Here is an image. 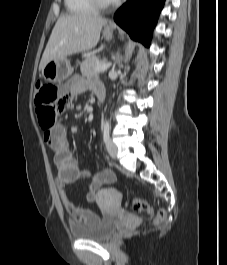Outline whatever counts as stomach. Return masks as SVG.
<instances>
[{
    "label": "stomach",
    "mask_w": 227,
    "mask_h": 265,
    "mask_svg": "<svg viewBox=\"0 0 227 265\" xmlns=\"http://www.w3.org/2000/svg\"><path fill=\"white\" fill-rule=\"evenodd\" d=\"M103 35L109 40L113 37V31L107 28L104 30ZM73 70L70 62L64 58L48 62L42 69L41 75L46 81L57 83L67 79L73 73Z\"/></svg>",
    "instance_id": "1"
}]
</instances>
